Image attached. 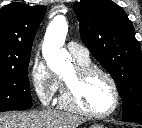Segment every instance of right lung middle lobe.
Returning <instances> with one entry per match:
<instances>
[{"mask_svg": "<svg viewBox=\"0 0 142 128\" xmlns=\"http://www.w3.org/2000/svg\"><path fill=\"white\" fill-rule=\"evenodd\" d=\"M28 65L0 69V112L32 107Z\"/></svg>", "mask_w": 142, "mask_h": 128, "instance_id": "1", "label": "right lung middle lobe"}]
</instances>
